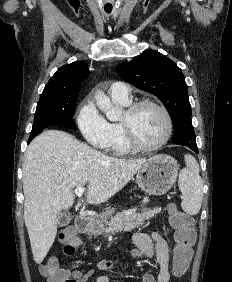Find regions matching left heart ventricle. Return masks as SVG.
Segmentation results:
<instances>
[{
  "mask_svg": "<svg viewBox=\"0 0 232 282\" xmlns=\"http://www.w3.org/2000/svg\"><path fill=\"white\" fill-rule=\"evenodd\" d=\"M126 118L124 114L123 119ZM132 126L137 140L143 145H154L165 136L166 121L156 108L144 106L132 117Z\"/></svg>",
  "mask_w": 232,
  "mask_h": 282,
  "instance_id": "left-heart-ventricle-1",
  "label": "left heart ventricle"
}]
</instances>
